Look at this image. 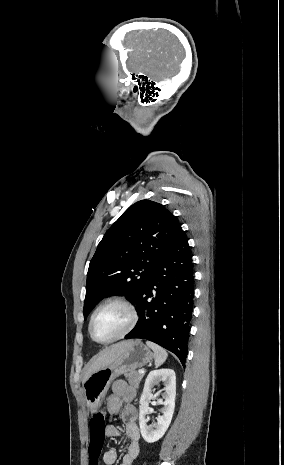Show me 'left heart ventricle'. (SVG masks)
<instances>
[{
  "label": "left heart ventricle",
  "mask_w": 284,
  "mask_h": 465,
  "mask_svg": "<svg viewBox=\"0 0 284 465\" xmlns=\"http://www.w3.org/2000/svg\"><path fill=\"white\" fill-rule=\"evenodd\" d=\"M129 323L126 310L118 306L102 308L94 317L91 333L97 341H107L120 335Z\"/></svg>",
  "instance_id": "obj_1"
}]
</instances>
